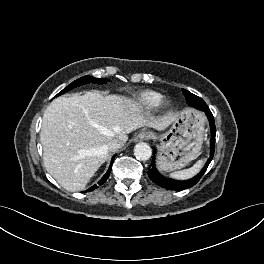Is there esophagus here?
Here are the masks:
<instances>
[{
	"label": "esophagus",
	"instance_id": "34e87169",
	"mask_svg": "<svg viewBox=\"0 0 264 264\" xmlns=\"http://www.w3.org/2000/svg\"><path fill=\"white\" fill-rule=\"evenodd\" d=\"M151 135L152 134L148 131H141L134 136V141L140 142V141L148 140L151 138Z\"/></svg>",
	"mask_w": 264,
	"mask_h": 264
}]
</instances>
